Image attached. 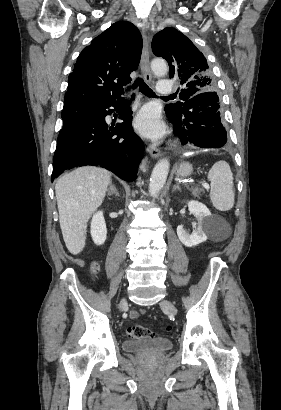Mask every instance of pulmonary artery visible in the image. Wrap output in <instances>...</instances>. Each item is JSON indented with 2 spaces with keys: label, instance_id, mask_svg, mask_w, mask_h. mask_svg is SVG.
<instances>
[{
  "label": "pulmonary artery",
  "instance_id": "obj_1",
  "mask_svg": "<svg viewBox=\"0 0 281 410\" xmlns=\"http://www.w3.org/2000/svg\"><path fill=\"white\" fill-rule=\"evenodd\" d=\"M157 91L160 94H171L174 91V86L172 81H162L157 86Z\"/></svg>",
  "mask_w": 281,
  "mask_h": 410
}]
</instances>
